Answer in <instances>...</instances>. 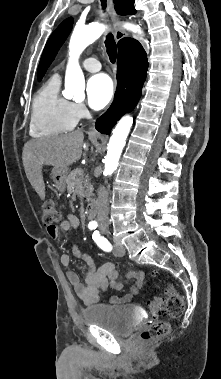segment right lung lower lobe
<instances>
[{
    "instance_id": "obj_1",
    "label": "right lung lower lobe",
    "mask_w": 221,
    "mask_h": 379,
    "mask_svg": "<svg viewBox=\"0 0 221 379\" xmlns=\"http://www.w3.org/2000/svg\"><path fill=\"white\" fill-rule=\"evenodd\" d=\"M147 55L141 44L124 38L118 43L117 89L109 109L97 120L95 127L110 134L116 122L137 105L147 76Z\"/></svg>"
}]
</instances>
